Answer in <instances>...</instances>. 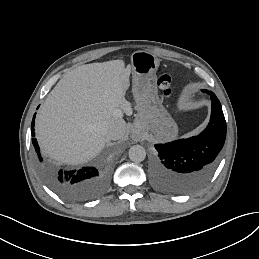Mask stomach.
<instances>
[{
  "mask_svg": "<svg viewBox=\"0 0 259 259\" xmlns=\"http://www.w3.org/2000/svg\"><path fill=\"white\" fill-rule=\"evenodd\" d=\"M159 59L147 51H135L131 55L132 72L135 75L152 76L159 67Z\"/></svg>",
  "mask_w": 259,
  "mask_h": 259,
  "instance_id": "stomach-1",
  "label": "stomach"
}]
</instances>
